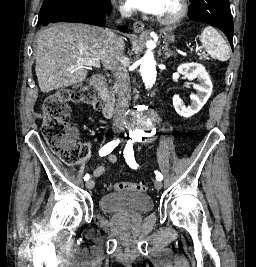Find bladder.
<instances>
[{
  "instance_id": "bladder-1",
  "label": "bladder",
  "mask_w": 256,
  "mask_h": 267,
  "mask_svg": "<svg viewBox=\"0 0 256 267\" xmlns=\"http://www.w3.org/2000/svg\"><path fill=\"white\" fill-rule=\"evenodd\" d=\"M103 212L137 214L148 212L152 208L149 195H113L106 194L99 199Z\"/></svg>"
}]
</instances>
